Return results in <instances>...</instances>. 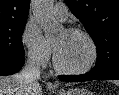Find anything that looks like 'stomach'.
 <instances>
[{
	"label": "stomach",
	"mask_w": 119,
	"mask_h": 95,
	"mask_svg": "<svg viewBox=\"0 0 119 95\" xmlns=\"http://www.w3.org/2000/svg\"><path fill=\"white\" fill-rule=\"evenodd\" d=\"M58 95H92V93L84 88H74L67 91H61Z\"/></svg>",
	"instance_id": "stomach-1"
}]
</instances>
